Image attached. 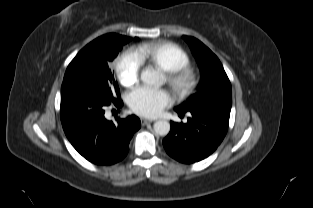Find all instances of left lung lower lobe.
<instances>
[{
  "instance_id": "1",
  "label": "left lung lower lobe",
  "mask_w": 313,
  "mask_h": 208,
  "mask_svg": "<svg viewBox=\"0 0 313 208\" xmlns=\"http://www.w3.org/2000/svg\"><path fill=\"white\" fill-rule=\"evenodd\" d=\"M230 110L214 106L189 111L175 108L179 115L188 112L191 117L185 124L170 122L171 131L163 140L166 152L186 164L207 158L217 149L227 133Z\"/></svg>"
}]
</instances>
